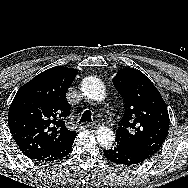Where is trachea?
<instances>
[{
  "mask_svg": "<svg viewBox=\"0 0 188 188\" xmlns=\"http://www.w3.org/2000/svg\"><path fill=\"white\" fill-rule=\"evenodd\" d=\"M91 116H92L91 111L86 110V111H84V113H83L79 122H92Z\"/></svg>",
  "mask_w": 188,
  "mask_h": 188,
  "instance_id": "3493384b",
  "label": "trachea"
}]
</instances>
